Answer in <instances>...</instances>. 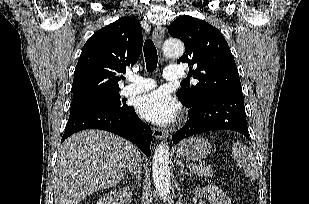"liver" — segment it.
I'll return each instance as SVG.
<instances>
[{
    "label": "liver",
    "mask_w": 309,
    "mask_h": 204,
    "mask_svg": "<svg viewBox=\"0 0 309 204\" xmlns=\"http://www.w3.org/2000/svg\"><path fill=\"white\" fill-rule=\"evenodd\" d=\"M139 156L135 145L106 131L72 135L58 149L55 204H78L93 192L117 185Z\"/></svg>",
    "instance_id": "obj_1"
}]
</instances>
